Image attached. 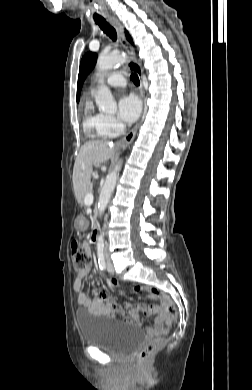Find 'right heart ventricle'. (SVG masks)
<instances>
[{"instance_id":"obj_1","label":"right heart ventricle","mask_w":252,"mask_h":390,"mask_svg":"<svg viewBox=\"0 0 252 390\" xmlns=\"http://www.w3.org/2000/svg\"><path fill=\"white\" fill-rule=\"evenodd\" d=\"M101 114L94 113L91 102L86 103L84 108L83 128L85 133L91 138L106 137L100 131Z\"/></svg>"}]
</instances>
